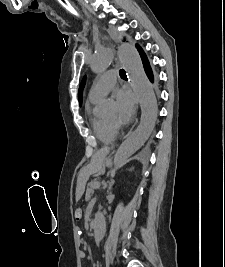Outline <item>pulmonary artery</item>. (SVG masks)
Listing matches in <instances>:
<instances>
[{
	"label": "pulmonary artery",
	"mask_w": 225,
	"mask_h": 267,
	"mask_svg": "<svg viewBox=\"0 0 225 267\" xmlns=\"http://www.w3.org/2000/svg\"><path fill=\"white\" fill-rule=\"evenodd\" d=\"M117 77V72L114 69L101 75L90 89V99L99 100L105 96L116 84Z\"/></svg>",
	"instance_id": "1"
}]
</instances>
